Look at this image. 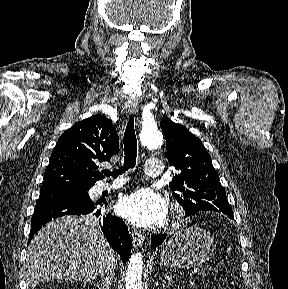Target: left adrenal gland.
Here are the masks:
<instances>
[{
    "mask_svg": "<svg viewBox=\"0 0 288 289\" xmlns=\"http://www.w3.org/2000/svg\"><path fill=\"white\" fill-rule=\"evenodd\" d=\"M163 277H164V280H166V279L171 280L172 279V276L171 275H167V274H164Z\"/></svg>",
    "mask_w": 288,
    "mask_h": 289,
    "instance_id": "1",
    "label": "left adrenal gland"
}]
</instances>
